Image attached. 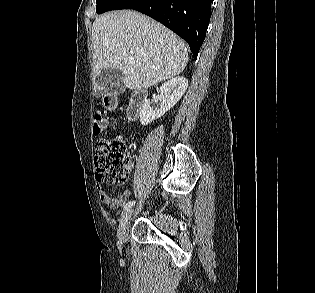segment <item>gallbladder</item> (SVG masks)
Here are the masks:
<instances>
[{"label":"gallbladder","mask_w":315,"mask_h":293,"mask_svg":"<svg viewBox=\"0 0 315 293\" xmlns=\"http://www.w3.org/2000/svg\"><path fill=\"white\" fill-rule=\"evenodd\" d=\"M123 73L119 69H103L97 76V83L107 89L114 88L118 93L122 92Z\"/></svg>","instance_id":"obj_1"}]
</instances>
